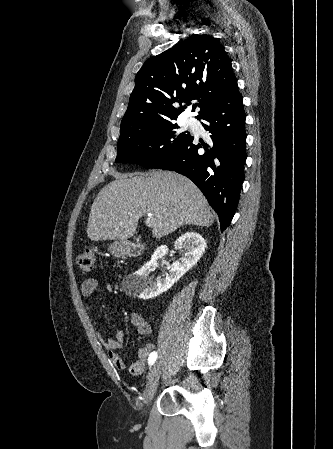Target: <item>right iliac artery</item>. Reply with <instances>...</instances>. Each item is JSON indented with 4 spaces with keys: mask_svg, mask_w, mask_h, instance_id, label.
<instances>
[{
    "mask_svg": "<svg viewBox=\"0 0 333 449\" xmlns=\"http://www.w3.org/2000/svg\"><path fill=\"white\" fill-rule=\"evenodd\" d=\"M156 359H157V352L154 351V352H152V353L150 354V356H149V365H150V367L154 364V362L156 361Z\"/></svg>",
    "mask_w": 333,
    "mask_h": 449,
    "instance_id": "82829eb1",
    "label": "right iliac artery"
}]
</instances>
